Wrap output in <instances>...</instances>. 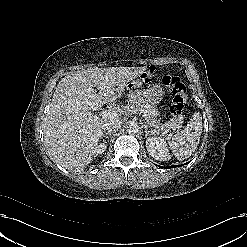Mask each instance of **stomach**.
<instances>
[{
    "mask_svg": "<svg viewBox=\"0 0 247 247\" xmlns=\"http://www.w3.org/2000/svg\"><path fill=\"white\" fill-rule=\"evenodd\" d=\"M142 85L141 79H136L128 83L127 89H136L139 88ZM134 95H137L139 97H142L144 100H146L149 103L157 104L159 103L164 95L165 90L161 85L155 84L152 87L146 89V90H135L130 93L131 98L134 97Z\"/></svg>",
    "mask_w": 247,
    "mask_h": 247,
    "instance_id": "stomach-1",
    "label": "stomach"
}]
</instances>
